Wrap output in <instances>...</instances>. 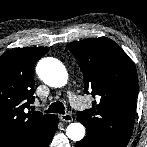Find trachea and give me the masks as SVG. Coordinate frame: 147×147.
Returning a JSON list of instances; mask_svg holds the SVG:
<instances>
[{"mask_svg":"<svg viewBox=\"0 0 147 147\" xmlns=\"http://www.w3.org/2000/svg\"><path fill=\"white\" fill-rule=\"evenodd\" d=\"M46 113H59V114H65V107L63 103L60 101L52 103L47 110H45Z\"/></svg>","mask_w":147,"mask_h":147,"instance_id":"trachea-1","label":"trachea"}]
</instances>
